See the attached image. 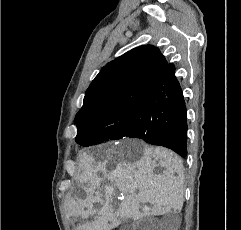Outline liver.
Segmentation results:
<instances>
[{
	"instance_id": "liver-1",
	"label": "liver",
	"mask_w": 241,
	"mask_h": 230,
	"mask_svg": "<svg viewBox=\"0 0 241 230\" xmlns=\"http://www.w3.org/2000/svg\"><path fill=\"white\" fill-rule=\"evenodd\" d=\"M136 150H143V157L129 161L128 158ZM104 155L100 160L84 153L80 159L82 173L78 175V180L86 192V198L69 197L68 215H94L97 212L95 202L100 203L102 208L94 221L79 225L77 230H110L118 223L110 201L102 198L101 184L105 179L125 195L117 209L121 219L137 220L146 215L181 211L184 171L182 160L177 154L161 147L151 148L134 140L111 146L104 151ZM158 166L163 170L156 174L154 169ZM147 203L152 206L140 205Z\"/></svg>"
}]
</instances>
